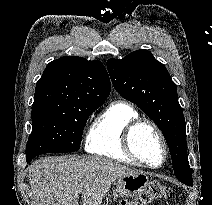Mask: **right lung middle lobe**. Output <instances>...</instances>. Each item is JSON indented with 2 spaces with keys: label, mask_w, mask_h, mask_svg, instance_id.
<instances>
[{
  "label": "right lung middle lobe",
  "mask_w": 212,
  "mask_h": 205,
  "mask_svg": "<svg viewBox=\"0 0 212 205\" xmlns=\"http://www.w3.org/2000/svg\"><path fill=\"white\" fill-rule=\"evenodd\" d=\"M99 105H78L67 109H32V132L26 158L45 153H67L80 149L83 128Z\"/></svg>",
  "instance_id": "dd1d6c3e"
}]
</instances>
